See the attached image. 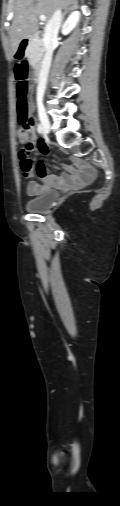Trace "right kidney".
I'll return each mask as SVG.
<instances>
[{"mask_svg":"<svg viewBox=\"0 0 120 506\" xmlns=\"http://www.w3.org/2000/svg\"><path fill=\"white\" fill-rule=\"evenodd\" d=\"M79 18H80L79 11L72 12L65 21V23L62 25V34L63 35L69 34L72 31V29L77 25Z\"/></svg>","mask_w":120,"mask_h":506,"instance_id":"ca27d5eb","label":"right kidney"}]
</instances>
